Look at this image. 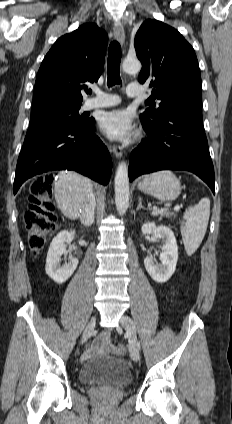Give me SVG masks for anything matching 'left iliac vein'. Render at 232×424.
Here are the masks:
<instances>
[{
    "mask_svg": "<svg viewBox=\"0 0 232 424\" xmlns=\"http://www.w3.org/2000/svg\"><path fill=\"white\" fill-rule=\"evenodd\" d=\"M122 326L124 327L126 334L129 338V352L132 360L138 361L140 357L138 345H137V335L136 329L132 319L126 315H123L121 318Z\"/></svg>",
    "mask_w": 232,
    "mask_h": 424,
    "instance_id": "left-iliac-vein-1",
    "label": "left iliac vein"
}]
</instances>
